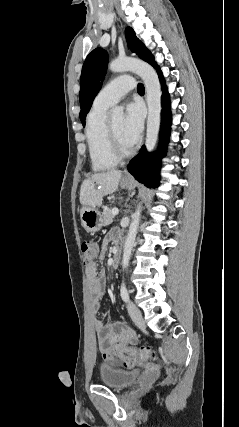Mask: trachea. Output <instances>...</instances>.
<instances>
[{
	"mask_svg": "<svg viewBox=\"0 0 239 427\" xmlns=\"http://www.w3.org/2000/svg\"><path fill=\"white\" fill-rule=\"evenodd\" d=\"M137 91H138V93H144L145 88H144V85L142 83L138 84Z\"/></svg>",
	"mask_w": 239,
	"mask_h": 427,
	"instance_id": "3493384b",
	"label": "trachea"
}]
</instances>
